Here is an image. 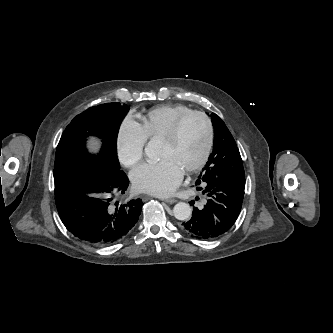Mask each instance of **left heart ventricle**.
<instances>
[{"mask_svg":"<svg viewBox=\"0 0 333 333\" xmlns=\"http://www.w3.org/2000/svg\"><path fill=\"white\" fill-rule=\"evenodd\" d=\"M207 142V127L199 117L188 119L175 142L162 141L161 158L173 159L183 170L202 156Z\"/></svg>","mask_w":333,"mask_h":333,"instance_id":"b2bd125f","label":"left heart ventricle"}]
</instances>
